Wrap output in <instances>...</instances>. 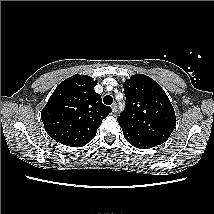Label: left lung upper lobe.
Masks as SVG:
<instances>
[{
  "label": "left lung upper lobe",
  "instance_id": "obj_1",
  "mask_svg": "<svg viewBox=\"0 0 214 214\" xmlns=\"http://www.w3.org/2000/svg\"><path fill=\"white\" fill-rule=\"evenodd\" d=\"M126 107L118 117L124 136L160 145L176 125L173 106L161 86L144 74L123 84Z\"/></svg>",
  "mask_w": 214,
  "mask_h": 214
}]
</instances>
